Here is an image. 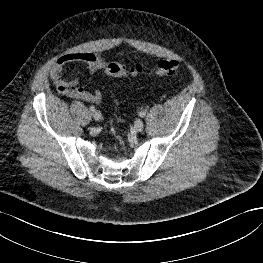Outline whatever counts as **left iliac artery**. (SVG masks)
Segmentation results:
<instances>
[{
    "label": "left iliac artery",
    "mask_w": 263,
    "mask_h": 263,
    "mask_svg": "<svg viewBox=\"0 0 263 263\" xmlns=\"http://www.w3.org/2000/svg\"><path fill=\"white\" fill-rule=\"evenodd\" d=\"M139 115H140L141 117H144V116L146 115V112H145V111H141V112L139 113Z\"/></svg>",
    "instance_id": "44dca946"
}]
</instances>
